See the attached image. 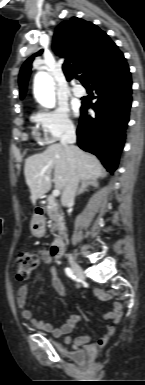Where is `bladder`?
Segmentation results:
<instances>
[{
  "mask_svg": "<svg viewBox=\"0 0 145 385\" xmlns=\"http://www.w3.org/2000/svg\"><path fill=\"white\" fill-rule=\"evenodd\" d=\"M78 353V355H80L81 357H83L84 359H86V355H85V352L84 351H78L76 352Z\"/></svg>",
  "mask_w": 145,
  "mask_h": 385,
  "instance_id": "obj_1",
  "label": "bladder"
}]
</instances>
